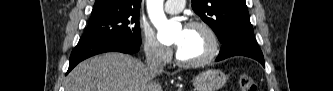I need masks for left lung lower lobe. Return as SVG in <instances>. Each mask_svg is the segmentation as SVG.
<instances>
[{
	"instance_id": "1",
	"label": "left lung lower lobe",
	"mask_w": 333,
	"mask_h": 91,
	"mask_svg": "<svg viewBox=\"0 0 333 91\" xmlns=\"http://www.w3.org/2000/svg\"><path fill=\"white\" fill-rule=\"evenodd\" d=\"M232 56H247L265 66L263 54L255 40L253 31L241 32L228 37L223 42L216 61Z\"/></svg>"
}]
</instances>
